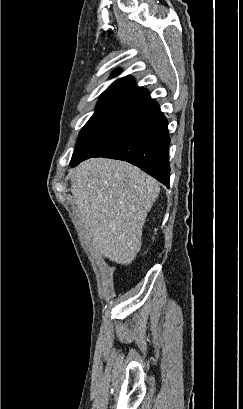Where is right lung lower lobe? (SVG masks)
I'll return each instance as SVG.
<instances>
[{"label": "right lung lower lobe", "mask_w": 243, "mask_h": 409, "mask_svg": "<svg viewBox=\"0 0 243 409\" xmlns=\"http://www.w3.org/2000/svg\"><path fill=\"white\" fill-rule=\"evenodd\" d=\"M168 122L143 89L117 110L74 150L70 166L92 157L127 161L169 187Z\"/></svg>", "instance_id": "98d812e1"}]
</instances>
